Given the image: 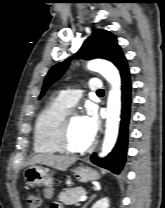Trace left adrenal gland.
Returning <instances> with one entry per match:
<instances>
[{
    "instance_id": "a2214340",
    "label": "left adrenal gland",
    "mask_w": 165,
    "mask_h": 208,
    "mask_svg": "<svg viewBox=\"0 0 165 208\" xmlns=\"http://www.w3.org/2000/svg\"><path fill=\"white\" fill-rule=\"evenodd\" d=\"M96 195L95 194H93L91 197H90V199L88 200V202L87 203H85L84 204V206L82 207V208H86L87 207V205H89V203L94 199V197H95Z\"/></svg>"
}]
</instances>
